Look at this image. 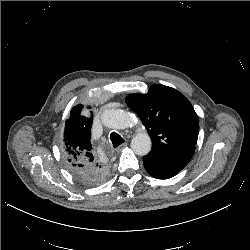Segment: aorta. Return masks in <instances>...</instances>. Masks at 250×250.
I'll return each mask as SVG.
<instances>
[{"label": "aorta", "instance_id": "obj_1", "mask_svg": "<svg viewBox=\"0 0 250 250\" xmlns=\"http://www.w3.org/2000/svg\"><path fill=\"white\" fill-rule=\"evenodd\" d=\"M134 117L124 111L117 109L106 110L102 115V122L106 127L112 129H125L133 124ZM151 139L146 132H139L131 140V149L135 154L144 156L151 150Z\"/></svg>", "mask_w": 250, "mask_h": 250}]
</instances>
